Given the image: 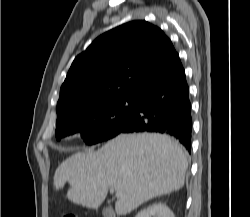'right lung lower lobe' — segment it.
I'll return each mask as SVG.
<instances>
[{"instance_id":"98d812e1","label":"right lung lower lobe","mask_w":250,"mask_h":217,"mask_svg":"<svg viewBox=\"0 0 250 217\" xmlns=\"http://www.w3.org/2000/svg\"><path fill=\"white\" fill-rule=\"evenodd\" d=\"M132 100V119L120 133L148 131L170 134L191 152V103L180 60L168 73L137 93Z\"/></svg>"}]
</instances>
